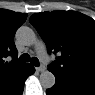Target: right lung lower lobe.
Returning <instances> with one entry per match:
<instances>
[{"label": "right lung lower lobe", "mask_w": 95, "mask_h": 95, "mask_svg": "<svg viewBox=\"0 0 95 95\" xmlns=\"http://www.w3.org/2000/svg\"><path fill=\"white\" fill-rule=\"evenodd\" d=\"M34 72H35V69L31 66L29 68L25 78L15 87V89L11 93H9L7 95H22L25 80L27 79L28 76H30Z\"/></svg>", "instance_id": "obj_1"}]
</instances>
